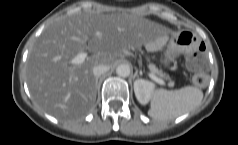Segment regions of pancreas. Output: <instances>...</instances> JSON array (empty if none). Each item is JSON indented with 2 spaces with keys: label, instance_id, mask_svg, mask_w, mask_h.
Masks as SVG:
<instances>
[{
  "label": "pancreas",
  "instance_id": "1",
  "mask_svg": "<svg viewBox=\"0 0 238 145\" xmlns=\"http://www.w3.org/2000/svg\"><path fill=\"white\" fill-rule=\"evenodd\" d=\"M149 70L151 71L152 74H157L160 77H167L164 73H162L154 64L150 63L148 65ZM172 85V83H170Z\"/></svg>",
  "mask_w": 238,
  "mask_h": 145
}]
</instances>
